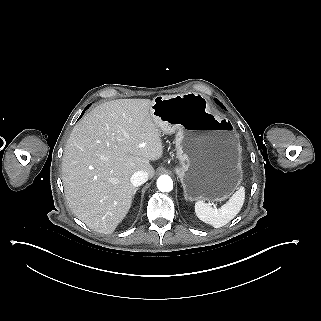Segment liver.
Segmentation results:
<instances>
[{
  "instance_id": "obj_1",
  "label": "liver",
  "mask_w": 321,
  "mask_h": 321,
  "mask_svg": "<svg viewBox=\"0 0 321 321\" xmlns=\"http://www.w3.org/2000/svg\"><path fill=\"white\" fill-rule=\"evenodd\" d=\"M150 99H119L96 107L73 128L62 159L71 211L99 233H112L128 214L136 171L155 174L149 161L164 155Z\"/></svg>"
}]
</instances>
